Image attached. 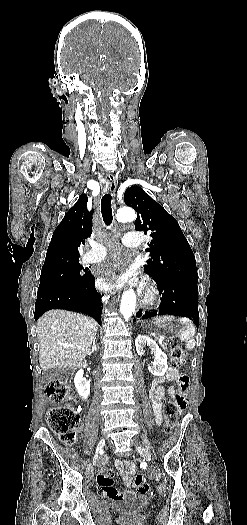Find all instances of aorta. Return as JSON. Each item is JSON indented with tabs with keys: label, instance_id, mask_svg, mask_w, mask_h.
Masks as SVG:
<instances>
[{
	"label": "aorta",
	"instance_id": "762f6f07",
	"mask_svg": "<svg viewBox=\"0 0 247 525\" xmlns=\"http://www.w3.org/2000/svg\"><path fill=\"white\" fill-rule=\"evenodd\" d=\"M136 218L135 211L128 207H123L117 211L116 219L118 222L125 223L134 221ZM136 294L132 288L125 291L120 305V312L128 320L135 311Z\"/></svg>",
	"mask_w": 247,
	"mask_h": 525
}]
</instances>
